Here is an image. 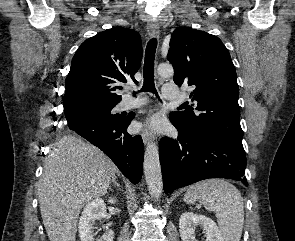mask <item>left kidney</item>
Masks as SVG:
<instances>
[{
	"mask_svg": "<svg viewBox=\"0 0 295 241\" xmlns=\"http://www.w3.org/2000/svg\"><path fill=\"white\" fill-rule=\"evenodd\" d=\"M196 226L203 228L206 241H224L218 226L211 218L192 212H184L180 217L179 231L182 241H194Z\"/></svg>",
	"mask_w": 295,
	"mask_h": 241,
	"instance_id": "1",
	"label": "left kidney"
}]
</instances>
